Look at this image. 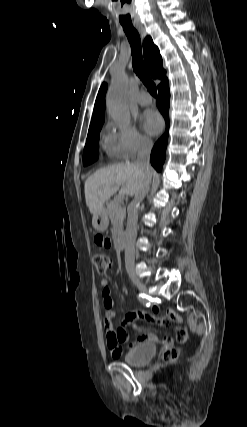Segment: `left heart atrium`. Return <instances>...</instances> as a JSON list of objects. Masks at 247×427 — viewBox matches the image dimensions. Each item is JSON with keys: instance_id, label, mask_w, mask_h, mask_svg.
<instances>
[{"instance_id": "left-heart-atrium-1", "label": "left heart atrium", "mask_w": 247, "mask_h": 427, "mask_svg": "<svg viewBox=\"0 0 247 427\" xmlns=\"http://www.w3.org/2000/svg\"><path fill=\"white\" fill-rule=\"evenodd\" d=\"M143 127L151 135H156L163 128V121L160 115L155 111H148L143 116Z\"/></svg>"}]
</instances>
